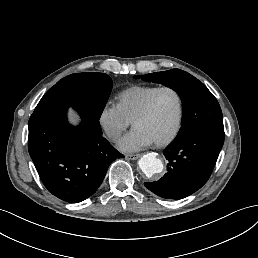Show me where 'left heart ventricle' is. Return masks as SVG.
<instances>
[{
    "label": "left heart ventricle",
    "instance_id": "b2bd125f",
    "mask_svg": "<svg viewBox=\"0 0 258 258\" xmlns=\"http://www.w3.org/2000/svg\"><path fill=\"white\" fill-rule=\"evenodd\" d=\"M177 97L171 91L160 93L153 104L150 118L143 128L157 137H167L172 132L177 116Z\"/></svg>",
    "mask_w": 258,
    "mask_h": 258
}]
</instances>
